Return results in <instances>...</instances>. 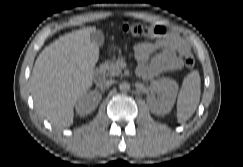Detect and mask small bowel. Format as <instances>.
Listing matches in <instances>:
<instances>
[{"label":"small bowel","mask_w":243,"mask_h":167,"mask_svg":"<svg viewBox=\"0 0 243 167\" xmlns=\"http://www.w3.org/2000/svg\"><path fill=\"white\" fill-rule=\"evenodd\" d=\"M189 52V43L175 32L162 34L153 42L139 43L134 47L138 74L151 80L164 72L177 71Z\"/></svg>","instance_id":"obj_1"}]
</instances>
